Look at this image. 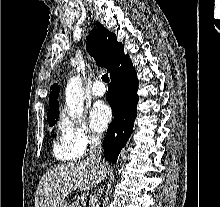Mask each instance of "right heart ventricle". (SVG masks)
Instances as JSON below:
<instances>
[{
    "label": "right heart ventricle",
    "mask_w": 220,
    "mask_h": 207,
    "mask_svg": "<svg viewBox=\"0 0 220 207\" xmlns=\"http://www.w3.org/2000/svg\"><path fill=\"white\" fill-rule=\"evenodd\" d=\"M53 154L56 159L64 162L77 160L83 155L67 145L61 137L53 141Z\"/></svg>",
    "instance_id": "right-heart-ventricle-1"
}]
</instances>
